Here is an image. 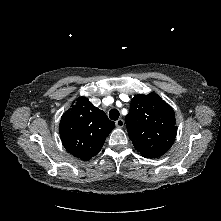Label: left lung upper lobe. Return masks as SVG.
<instances>
[{
  "label": "left lung upper lobe",
  "mask_w": 221,
  "mask_h": 221,
  "mask_svg": "<svg viewBox=\"0 0 221 221\" xmlns=\"http://www.w3.org/2000/svg\"><path fill=\"white\" fill-rule=\"evenodd\" d=\"M126 127L136 150L147 158L166 153L177 133L173 109L156 93L136 95L131 100Z\"/></svg>",
  "instance_id": "5c2ea615"
}]
</instances>
